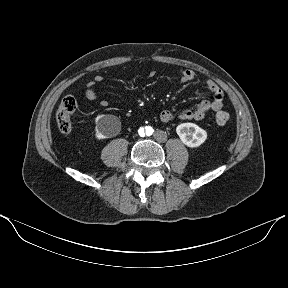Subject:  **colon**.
I'll return each mask as SVG.
<instances>
[{
  "instance_id": "obj_1",
  "label": "colon",
  "mask_w": 288,
  "mask_h": 288,
  "mask_svg": "<svg viewBox=\"0 0 288 288\" xmlns=\"http://www.w3.org/2000/svg\"><path fill=\"white\" fill-rule=\"evenodd\" d=\"M77 102L74 97L66 96L64 97L56 112V121L58 129L63 134H69L72 130V116L76 109ZM230 120V116L225 111H218L215 115V121L218 125L224 126Z\"/></svg>"
}]
</instances>
